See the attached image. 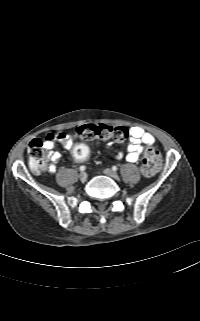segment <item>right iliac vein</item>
<instances>
[{"mask_svg":"<svg viewBox=\"0 0 200 321\" xmlns=\"http://www.w3.org/2000/svg\"><path fill=\"white\" fill-rule=\"evenodd\" d=\"M78 177L81 181H86L87 174L85 172H81Z\"/></svg>","mask_w":200,"mask_h":321,"instance_id":"1","label":"right iliac vein"}]
</instances>
